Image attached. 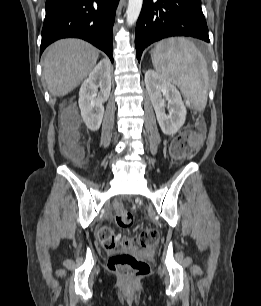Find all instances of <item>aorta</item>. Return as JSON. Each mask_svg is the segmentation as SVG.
Returning <instances> with one entry per match:
<instances>
[{"instance_id": "1", "label": "aorta", "mask_w": 261, "mask_h": 306, "mask_svg": "<svg viewBox=\"0 0 261 306\" xmlns=\"http://www.w3.org/2000/svg\"><path fill=\"white\" fill-rule=\"evenodd\" d=\"M143 0H129L127 7V25L132 26L137 21L142 8Z\"/></svg>"}]
</instances>
